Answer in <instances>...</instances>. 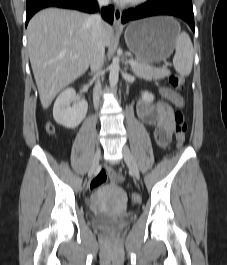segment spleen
<instances>
[{"label":"spleen","instance_id":"obj_1","mask_svg":"<svg viewBox=\"0 0 227 265\" xmlns=\"http://www.w3.org/2000/svg\"><path fill=\"white\" fill-rule=\"evenodd\" d=\"M175 49L174 68L180 75L188 76L192 70L194 50L191 39L186 32L178 35Z\"/></svg>","mask_w":227,"mask_h":265}]
</instances>
